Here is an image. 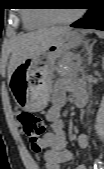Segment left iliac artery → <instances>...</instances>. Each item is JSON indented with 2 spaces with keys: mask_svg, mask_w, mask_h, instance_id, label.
<instances>
[{
  "mask_svg": "<svg viewBox=\"0 0 104 169\" xmlns=\"http://www.w3.org/2000/svg\"><path fill=\"white\" fill-rule=\"evenodd\" d=\"M94 169H103V168H102V162H101V160H100L99 158H97V159L95 160Z\"/></svg>",
  "mask_w": 104,
  "mask_h": 169,
  "instance_id": "44dca946",
  "label": "left iliac artery"
}]
</instances>
